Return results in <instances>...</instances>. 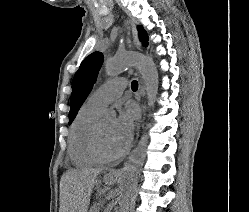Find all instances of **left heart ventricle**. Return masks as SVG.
I'll list each match as a JSON object with an SVG mask.
<instances>
[{
    "instance_id": "1",
    "label": "left heart ventricle",
    "mask_w": 249,
    "mask_h": 212,
    "mask_svg": "<svg viewBox=\"0 0 249 212\" xmlns=\"http://www.w3.org/2000/svg\"><path fill=\"white\" fill-rule=\"evenodd\" d=\"M114 126L113 119H104L100 121V140L103 149L109 154L120 153L112 141V131Z\"/></svg>"
}]
</instances>
